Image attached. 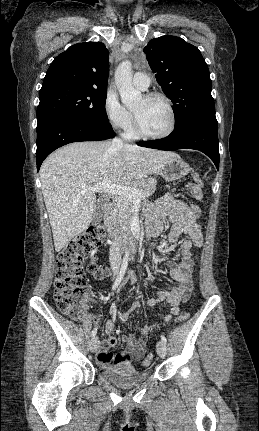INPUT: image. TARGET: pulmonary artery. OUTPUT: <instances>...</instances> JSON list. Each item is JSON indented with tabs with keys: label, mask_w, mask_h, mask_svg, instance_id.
I'll list each match as a JSON object with an SVG mask.
<instances>
[{
	"label": "pulmonary artery",
	"mask_w": 259,
	"mask_h": 431,
	"mask_svg": "<svg viewBox=\"0 0 259 431\" xmlns=\"http://www.w3.org/2000/svg\"><path fill=\"white\" fill-rule=\"evenodd\" d=\"M133 84L140 90H146L150 85V79L147 74L137 72L133 77Z\"/></svg>",
	"instance_id": "e3ab8cb5"
}]
</instances>
